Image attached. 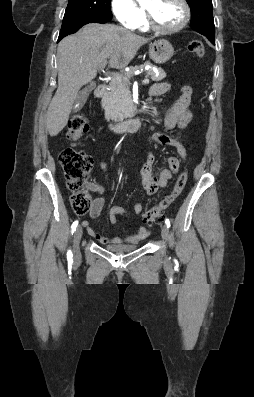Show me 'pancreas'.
<instances>
[{
  "label": "pancreas",
  "instance_id": "pancreas-1",
  "mask_svg": "<svg viewBox=\"0 0 254 397\" xmlns=\"http://www.w3.org/2000/svg\"><path fill=\"white\" fill-rule=\"evenodd\" d=\"M148 63L140 66H132L130 71L121 75L120 80H113L109 84V91L102 99V107L105 110V117L113 121H120L128 115V110L132 106L129 79L134 71L143 68ZM146 77L152 81H161L166 77V73L159 68L158 74L150 68L146 72Z\"/></svg>",
  "mask_w": 254,
  "mask_h": 397
}]
</instances>
